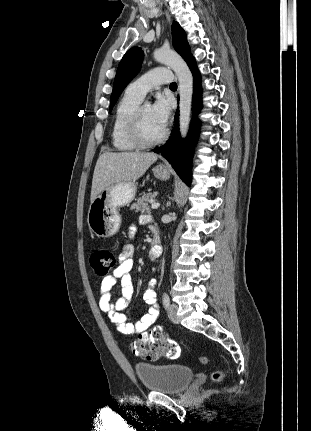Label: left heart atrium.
<instances>
[{
  "label": "left heart atrium",
  "instance_id": "obj_1",
  "mask_svg": "<svg viewBox=\"0 0 311 431\" xmlns=\"http://www.w3.org/2000/svg\"><path fill=\"white\" fill-rule=\"evenodd\" d=\"M173 102L170 96L168 95H158L155 102L153 103L152 115L155 121L165 129L169 118L171 116Z\"/></svg>",
  "mask_w": 311,
  "mask_h": 431
}]
</instances>
